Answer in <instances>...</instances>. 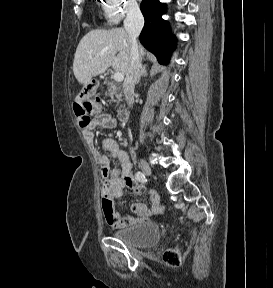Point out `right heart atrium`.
I'll use <instances>...</instances> for the list:
<instances>
[{"mask_svg":"<svg viewBox=\"0 0 273 288\" xmlns=\"http://www.w3.org/2000/svg\"><path fill=\"white\" fill-rule=\"evenodd\" d=\"M101 8L107 22L111 25L119 23L128 15H135L139 11L135 0H101Z\"/></svg>","mask_w":273,"mask_h":288,"instance_id":"d8ad5b80","label":"right heart atrium"}]
</instances>
